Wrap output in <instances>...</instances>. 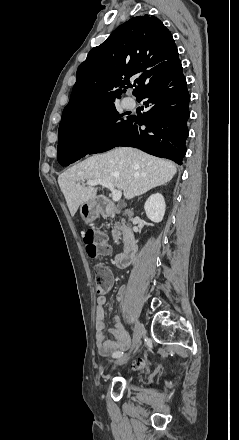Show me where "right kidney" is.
Wrapping results in <instances>:
<instances>
[{
    "label": "right kidney",
    "mask_w": 239,
    "mask_h": 440,
    "mask_svg": "<svg viewBox=\"0 0 239 440\" xmlns=\"http://www.w3.org/2000/svg\"><path fill=\"white\" fill-rule=\"evenodd\" d=\"M165 208L166 204L162 194H152L144 206L147 218H149L151 222H156V224L162 222Z\"/></svg>",
    "instance_id": "obj_1"
}]
</instances>
